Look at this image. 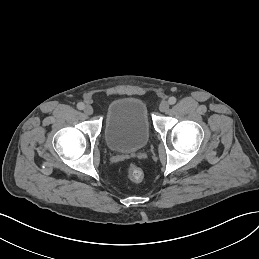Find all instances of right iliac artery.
Returning <instances> with one entry per match:
<instances>
[{"label": "right iliac artery", "instance_id": "right-iliac-artery-1", "mask_svg": "<svg viewBox=\"0 0 259 259\" xmlns=\"http://www.w3.org/2000/svg\"><path fill=\"white\" fill-rule=\"evenodd\" d=\"M77 108H78L79 110H83V109L85 108L84 103L79 102V103L77 104Z\"/></svg>", "mask_w": 259, "mask_h": 259}]
</instances>
